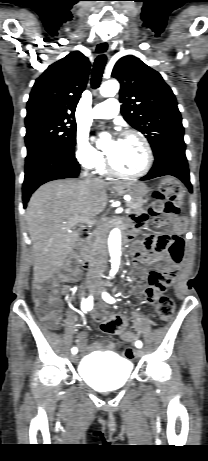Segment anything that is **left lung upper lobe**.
I'll return each instance as SVG.
<instances>
[{
  "mask_svg": "<svg viewBox=\"0 0 208 461\" xmlns=\"http://www.w3.org/2000/svg\"><path fill=\"white\" fill-rule=\"evenodd\" d=\"M112 76L120 84L124 119L148 139L154 154L173 143H184V127L171 88L160 73L134 56L122 57Z\"/></svg>",
  "mask_w": 208,
  "mask_h": 461,
  "instance_id": "obj_1",
  "label": "left lung upper lobe"
}]
</instances>
